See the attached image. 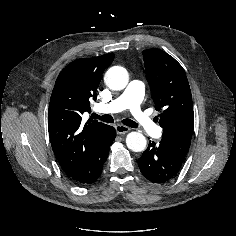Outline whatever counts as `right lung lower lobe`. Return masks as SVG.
Returning <instances> with one entry per match:
<instances>
[{
	"mask_svg": "<svg viewBox=\"0 0 236 236\" xmlns=\"http://www.w3.org/2000/svg\"><path fill=\"white\" fill-rule=\"evenodd\" d=\"M116 137L115 128L107 126L105 131L98 138L92 152L84 165L78 172L69 176L75 183L80 185L91 184L100 176L103 164L106 161L110 145Z\"/></svg>",
	"mask_w": 236,
	"mask_h": 236,
	"instance_id": "1",
	"label": "right lung lower lobe"
}]
</instances>
